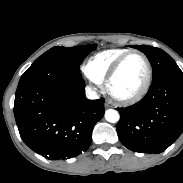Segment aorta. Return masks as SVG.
Segmentation results:
<instances>
[{"label": "aorta", "instance_id": "762f6f07", "mask_svg": "<svg viewBox=\"0 0 183 183\" xmlns=\"http://www.w3.org/2000/svg\"><path fill=\"white\" fill-rule=\"evenodd\" d=\"M105 119L110 122V123H116L119 121L120 119V115L118 113V111L114 110V109H108L105 112Z\"/></svg>", "mask_w": 183, "mask_h": 183}]
</instances>
